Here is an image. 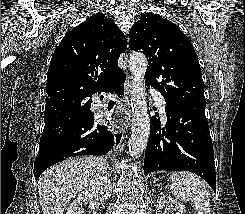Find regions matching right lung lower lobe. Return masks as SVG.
Returning a JSON list of instances; mask_svg holds the SVG:
<instances>
[{"label":"right lung lower lobe","mask_w":245,"mask_h":214,"mask_svg":"<svg viewBox=\"0 0 245 214\" xmlns=\"http://www.w3.org/2000/svg\"><path fill=\"white\" fill-rule=\"evenodd\" d=\"M125 76L115 81L109 91L118 96L123 92ZM54 105L67 103L64 97L55 98ZM49 112H55L50 106ZM45 120L40 139V148L34 162V175L38 179L45 169L66 158L81 155H104L114 146V136L106 126L94 125V114L90 105L71 113H56Z\"/></svg>","instance_id":"1"}]
</instances>
